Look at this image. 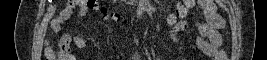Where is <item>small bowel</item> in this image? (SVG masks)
<instances>
[{"instance_id":"1","label":"small bowel","mask_w":267,"mask_h":60,"mask_svg":"<svg viewBox=\"0 0 267 60\" xmlns=\"http://www.w3.org/2000/svg\"><path fill=\"white\" fill-rule=\"evenodd\" d=\"M189 4L184 8L183 13L179 14L178 17H183L188 9L192 8L197 4L199 6L200 13L203 17V21L194 20L192 23L177 20L174 16L172 21L175 25L172 27L169 37L170 40L176 45L179 50L182 47L179 43L178 34L183 31H187L193 34L194 42L197 49L205 56L213 60H225L226 55L221 50L222 36L221 30L223 29L225 22L224 19L216 12V6L212 0H188ZM78 4L71 2L66 5L62 10L61 17L53 24V29L58 31L62 23L67 20L76 11ZM87 12L83 11L79 7V14L82 16ZM73 40L74 45L77 48L83 49L87 45L86 37L82 34H77L73 38L70 33H65L59 40L60 49L67 55L70 52V44ZM138 54V53H137Z\"/></svg>"}]
</instances>
